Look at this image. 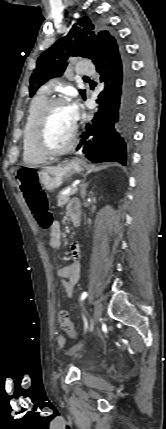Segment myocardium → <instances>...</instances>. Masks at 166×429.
<instances>
[{
  "label": "myocardium",
  "mask_w": 166,
  "mask_h": 429,
  "mask_svg": "<svg viewBox=\"0 0 166 429\" xmlns=\"http://www.w3.org/2000/svg\"><path fill=\"white\" fill-rule=\"evenodd\" d=\"M59 104L68 105L66 99L63 97H53L48 99L43 105V107L41 108L39 114L37 115L33 126V132H32L33 148L38 153L46 157H55L69 152L74 147L77 139L78 125L75 122L71 132L69 142L65 146L58 149H51L45 144L43 134H44V128H45L47 117L50 111Z\"/></svg>",
  "instance_id": "obj_1"
}]
</instances>
